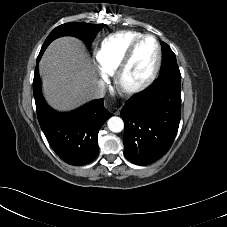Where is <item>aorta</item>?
Segmentation results:
<instances>
[{
  "mask_svg": "<svg viewBox=\"0 0 227 227\" xmlns=\"http://www.w3.org/2000/svg\"><path fill=\"white\" fill-rule=\"evenodd\" d=\"M108 128L114 133L121 132L124 129V122L120 117H111L107 122Z\"/></svg>",
  "mask_w": 227,
  "mask_h": 227,
  "instance_id": "aorta-1",
  "label": "aorta"
}]
</instances>
